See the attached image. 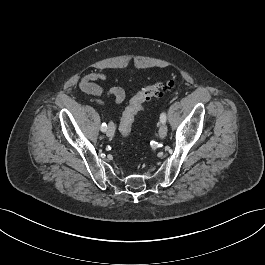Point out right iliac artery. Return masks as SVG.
Wrapping results in <instances>:
<instances>
[{"mask_svg": "<svg viewBox=\"0 0 265 265\" xmlns=\"http://www.w3.org/2000/svg\"><path fill=\"white\" fill-rule=\"evenodd\" d=\"M107 130V125H106V123H103L102 125H101V131L102 132H105Z\"/></svg>", "mask_w": 265, "mask_h": 265, "instance_id": "1", "label": "right iliac artery"}]
</instances>
